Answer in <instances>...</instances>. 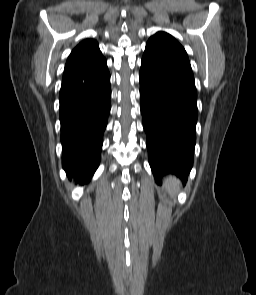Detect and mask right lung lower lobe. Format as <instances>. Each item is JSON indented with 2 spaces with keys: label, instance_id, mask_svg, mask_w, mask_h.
<instances>
[{
  "label": "right lung lower lobe",
  "instance_id": "obj_1",
  "mask_svg": "<svg viewBox=\"0 0 256 295\" xmlns=\"http://www.w3.org/2000/svg\"><path fill=\"white\" fill-rule=\"evenodd\" d=\"M110 96L105 58L64 71L59 94L62 167L80 182L99 166Z\"/></svg>",
  "mask_w": 256,
  "mask_h": 295
}]
</instances>
